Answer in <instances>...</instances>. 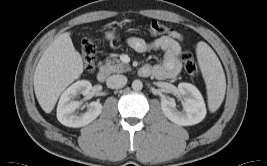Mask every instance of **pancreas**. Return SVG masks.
Masks as SVG:
<instances>
[{"label": "pancreas", "mask_w": 267, "mask_h": 166, "mask_svg": "<svg viewBox=\"0 0 267 166\" xmlns=\"http://www.w3.org/2000/svg\"><path fill=\"white\" fill-rule=\"evenodd\" d=\"M102 70L106 74L124 73L131 70V67L122 63L117 57L107 58Z\"/></svg>", "instance_id": "1"}]
</instances>
